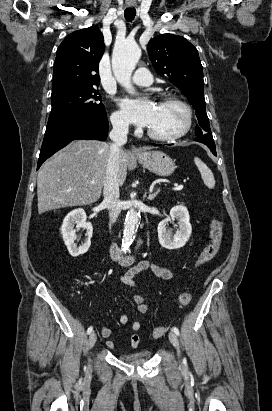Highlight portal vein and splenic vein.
Masks as SVG:
<instances>
[{"label":"portal vein and splenic vein","instance_id":"18ae733b","mask_svg":"<svg viewBox=\"0 0 272 411\" xmlns=\"http://www.w3.org/2000/svg\"><path fill=\"white\" fill-rule=\"evenodd\" d=\"M182 189H183V185H182V184L176 185V186L173 188V190H182Z\"/></svg>","mask_w":272,"mask_h":411}]
</instances>
